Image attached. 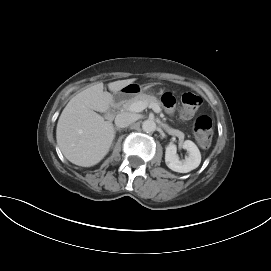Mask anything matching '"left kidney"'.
<instances>
[{"label":"left kidney","instance_id":"1","mask_svg":"<svg viewBox=\"0 0 271 271\" xmlns=\"http://www.w3.org/2000/svg\"><path fill=\"white\" fill-rule=\"evenodd\" d=\"M183 148L189 153L184 160H179L177 147L173 143H170L166 147L165 152L166 165L171 170L179 173H187L193 169H196L201 162V154L195 143L190 140H185L183 143Z\"/></svg>","mask_w":271,"mask_h":271}]
</instances>
